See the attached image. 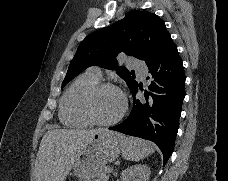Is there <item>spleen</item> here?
Here are the masks:
<instances>
[{
  "instance_id": "spleen-1",
  "label": "spleen",
  "mask_w": 228,
  "mask_h": 181,
  "mask_svg": "<svg viewBox=\"0 0 228 181\" xmlns=\"http://www.w3.org/2000/svg\"><path fill=\"white\" fill-rule=\"evenodd\" d=\"M122 157L126 161H142L151 153H154L155 147H152L150 141L134 139V137H125V143L121 149Z\"/></svg>"
}]
</instances>
